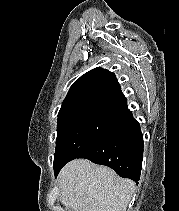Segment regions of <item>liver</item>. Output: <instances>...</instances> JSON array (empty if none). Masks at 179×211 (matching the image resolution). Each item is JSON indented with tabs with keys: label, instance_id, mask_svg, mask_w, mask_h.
Instances as JSON below:
<instances>
[{
	"label": "liver",
	"instance_id": "6515ba94",
	"mask_svg": "<svg viewBox=\"0 0 179 211\" xmlns=\"http://www.w3.org/2000/svg\"><path fill=\"white\" fill-rule=\"evenodd\" d=\"M60 201L71 211H127L135 183L86 159L67 163L59 173Z\"/></svg>",
	"mask_w": 179,
	"mask_h": 211
}]
</instances>
